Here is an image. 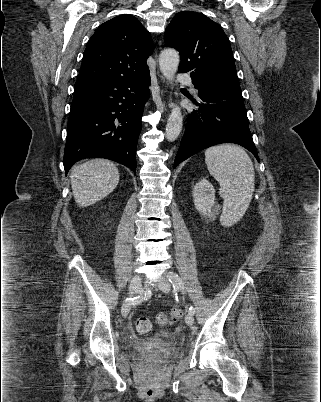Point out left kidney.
<instances>
[{"instance_id": "obj_1", "label": "left kidney", "mask_w": 321, "mask_h": 402, "mask_svg": "<svg viewBox=\"0 0 321 402\" xmlns=\"http://www.w3.org/2000/svg\"><path fill=\"white\" fill-rule=\"evenodd\" d=\"M192 196L198 212L205 216H213L212 208L215 205V190L208 180L202 179L196 183Z\"/></svg>"}]
</instances>
